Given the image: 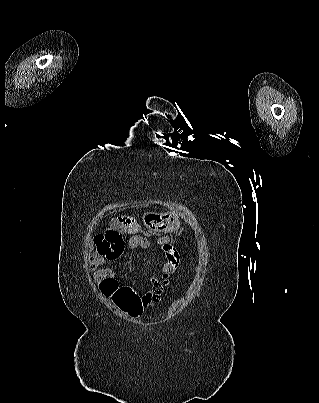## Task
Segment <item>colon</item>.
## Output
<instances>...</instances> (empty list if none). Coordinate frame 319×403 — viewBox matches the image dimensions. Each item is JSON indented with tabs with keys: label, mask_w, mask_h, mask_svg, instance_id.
Returning a JSON list of instances; mask_svg holds the SVG:
<instances>
[{
	"label": "colon",
	"mask_w": 319,
	"mask_h": 403,
	"mask_svg": "<svg viewBox=\"0 0 319 403\" xmlns=\"http://www.w3.org/2000/svg\"><path fill=\"white\" fill-rule=\"evenodd\" d=\"M114 224V223H113ZM150 230H151V228H149ZM94 240H95V237H94ZM164 268V267H163ZM162 270L163 269H160V271L159 272H162ZM152 282H150V284H151ZM172 284H173V281L171 282V284H170V286L169 287H172ZM162 291H166V288H163V290Z\"/></svg>",
	"instance_id": "obj_1"
}]
</instances>
